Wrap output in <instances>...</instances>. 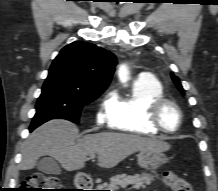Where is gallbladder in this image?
<instances>
[{"label":"gallbladder","instance_id":"gallbladder-1","mask_svg":"<svg viewBox=\"0 0 218 191\" xmlns=\"http://www.w3.org/2000/svg\"><path fill=\"white\" fill-rule=\"evenodd\" d=\"M37 169L46 174H60L61 169L52 157H44L37 163Z\"/></svg>","mask_w":218,"mask_h":191}]
</instances>
